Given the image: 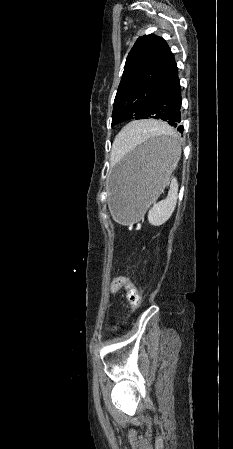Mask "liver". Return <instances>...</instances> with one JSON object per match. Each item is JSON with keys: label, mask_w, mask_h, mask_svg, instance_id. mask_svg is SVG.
I'll use <instances>...</instances> for the list:
<instances>
[{"label": "liver", "mask_w": 233, "mask_h": 449, "mask_svg": "<svg viewBox=\"0 0 233 449\" xmlns=\"http://www.w3.org/2000/svg\"><path fill=\"white\" fill-rule=\"evenodd\" d=\"M119 135L117 136L116 140H115V144H114V150L117 148L118 143H119Z\"/></svg>", "instance_id": "1"}]
</instances>
